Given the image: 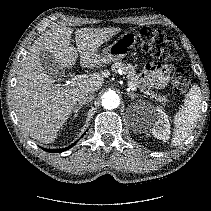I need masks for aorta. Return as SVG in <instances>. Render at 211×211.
Listing matches in <instances>:
<instances>
[{
    "mask_svg": "<svg viewBox=\"0 0 211 211\" xmlns=\"http://www.w3.org/2000/svg\"><path fill=\"white\" fill-rule=\"evenodd\" d=\"M120 104V98L114 91H109L102 96V106L105 109L111 110L115 109Z\"/></svg>",
    "mask_w": 211,
    "mask_h": 211,
    "instance_id": "aorta-1",
    "label": "aorta"
}]
</instances>
